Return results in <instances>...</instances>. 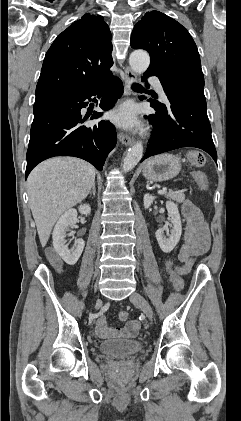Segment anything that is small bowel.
I'll use <instances>...</instances> for the list:
<instances>
[{
    "label": "small bowel",
    "instance_id": "1",
    "mask_svg": "<svg viewBox=\"0 0 241 421\" xmlns=\"http://www.w3.org/2000/svg\"><path fill=\"white\" fill-rule=\"evenodd\" d=\"M182 213L186 219L184 242L178 258L185 262L206 253L210 246V233L199 209L189 200L182 204ZM96 333L101 338H134L140 324L137 320L128 321L124 327H110L106 315H102L96 322Z\"/></svg>",
    "mask_w": 241,
    "mask_h": 421
}]
</instances>
